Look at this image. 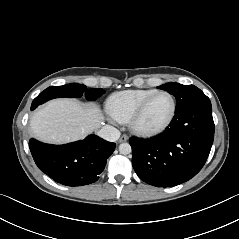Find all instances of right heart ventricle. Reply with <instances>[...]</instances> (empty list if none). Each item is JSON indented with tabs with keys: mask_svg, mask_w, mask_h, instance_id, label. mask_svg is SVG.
Returning a JSON list of instances; mask_svg holds the SVG:
<instances>
[{
	"mask_svg": "<svg viewBox=\"0 0 239 239\" xmlns=\"http://www.w3.org/2000/svg\"><path fill=\"white\" fill-rule=\"evenodd\" d=\"M154 92H156L154 89H132L115 92L107 98V111L110 116L119 122L128 121L137 106Z\"/></svg>",
	"mask_w": 239,
	"mask_h": 239,
	"instance_id": "e07e8e85",
	"label": "right heart ventricle"
}]
</instances>
